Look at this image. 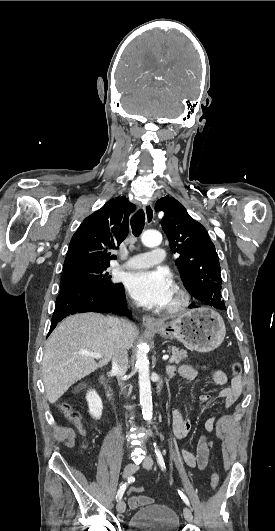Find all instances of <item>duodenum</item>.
Here are the masks:
<instances>
[{
	"label": "duodenum",
	"instance_id": "duodenum-1",
	"mask_svg": "<svg viewBox=\"0 0 275 531\" xmlns=\"http://www.w3.org/2000/svg\"><path fill=\"white\" fill-rule=\"evenodd\" d=\"M98 380H99L100 384L103 386V389H104V391L106 393V396H107L108 400L112 404H114L115 403L114 391H113L112 385L110 384V382L107 379L106 374L105 373H101ZM161 387H162V382L159 381L157 383V388H156V394L157 395L161 394Z\"/></svg>",
	"mask_w": 275,
	"mask_h": 531
}]
</instances>
